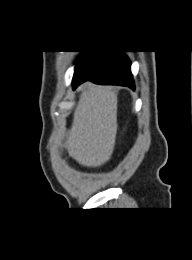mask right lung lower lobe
Segmentation results:
<instances>
[{"label":"right lung lower lobe","mask_w":192,"mask_h":260,"mask_svg":"<svg viewBox=\"0 0 192 260\" xmlns=\"http://www.w3.org/2000/svg\"><path fill=\"white\" fill-rule=\"evenodd\" d=\"M131 62L121 51H88L76 62L73 88L84 81L135 89Z\"/></svg>","instance_id":"98d812e1"}]
</instances>
